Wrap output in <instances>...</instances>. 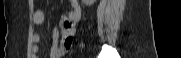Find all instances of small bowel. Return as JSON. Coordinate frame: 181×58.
Listing matches in <instances>:
<instances>
[{
	"mask_svg": "<svg viewBox=\"0 0 181 58\" xmlns=\"http://www.w3.org/2000/svg\"><path fill=\"white\" fill-rule=\"evenodd\" d=\"M81 7L76 0L69 1V9L63 14L59 22V30H55L53 34V46L51 48L50 58H62L73 44L76 32V24L81 18ZM33 21L35 24H42L45 21V13L42 10L34 12ZM32 53L34 58L37 57L39 51L38 42L40 40L38 34L33 35Z\"/></svg>",
	"mask_w": 181,
	"mask_h": 58,
	"instance_id": "small-bowel-1",
	"label": "small bowel"
}]
</instances>
